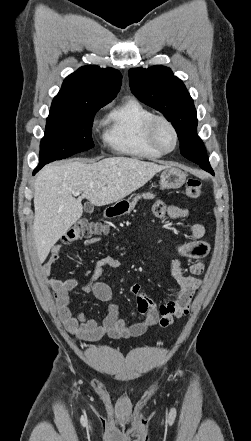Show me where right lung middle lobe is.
<instances>
[{
  "instance_id": "right-lung-middle-lobe-1",
  "label": "right lung middle lobe",
  "mask_w": 251,
  "mask_h": 441,
  "mask_svg": "<svg viewBox=\"0 0 251 441\" xmlns=\"http://www.w3.org/2000/svg\"><path fill=\"white\" fill-rule=\"evenodd\" d=\"M110 101L89 98L75 107H51L40 144L39 161L49 163L93 148V117Z\"/></svg>"
}]
</instances>
